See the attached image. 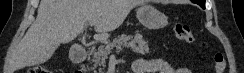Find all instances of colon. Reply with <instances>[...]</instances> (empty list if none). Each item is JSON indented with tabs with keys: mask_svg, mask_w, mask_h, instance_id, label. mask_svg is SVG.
Returning <instances> with one entry per match:
<instances>
[{
	"mask_svg": "<svg viewBox=\"0 0 244 73\" xmlns=\"http://www.w3.org/2000/svg\"><path fill=\"white\" fill-rule=\"evenodd\" d=\"M174 33L181 42L192 45L195 43V37L192 33L191 27L184 22H176L174 24ZM214 64L217 73H223L225 70V59L222 54L217 53L214 56ZM28 73H49L48 70L40 66H35L29 69Z\"/></svg>",
	"mask_w": 244,
	"mask_h": 73,
	"instance_id": "colon-1",
	"label": "colon"
}]
</instances>
